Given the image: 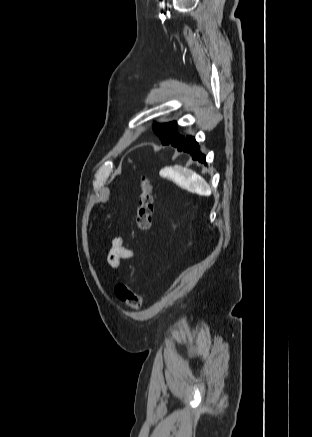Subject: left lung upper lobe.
I'll return each mask as SVG.
<instances>
[{
  "label": "left lung upper lobe",
  "mask_w": 312,
  "mask_h": 437,
  "mask_svg": "<svg viewBox=\"0 0 312 437\" xmlns=\"http://www.w3.org/2000/svg\"><path fill=\"white\" fill-rule=\"evenodd\" d=\"M153 130L155 134L159 136L162 144H166L171 141H176L184 138V136H181L177 133L176 122L154 124Z\"/></svg>",
  "instance_id": "obj_1"
}]
</instances>
